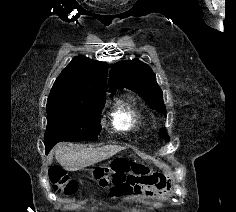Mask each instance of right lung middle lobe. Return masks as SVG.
I'll use <instances>...</instances> for the list:
<instances>
[{"label": "right lung middle lobe", "instance_id": "dd1d6c3e", "mask_svg": "<svg viewBox=\"0 0 236 212\" xmlns=\"http://www.w3.org/2000/svg\"><path fill=\"white\" fill-rule=\"evenodd\" d=\"M105 100H93L87 104L47 102L46 152L60 141L97 140Z\"/></svg>", "mask_w": 236, "mask_h": 212}]
</instances>
